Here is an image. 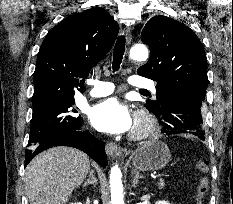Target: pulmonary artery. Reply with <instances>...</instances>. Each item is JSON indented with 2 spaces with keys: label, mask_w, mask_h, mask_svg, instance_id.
I'll return each instance as SVG.
<instances>
[{
  "label": "pulmonary artery",
  "mask_w": 233,
  "mask_h": 204,
  "mask_svg": "<svg viewBox=\"0 0 233 204\" xmlns=\"http://www.w3.org/2000/svg\"><path fill=\"white\" fill-rule=\"evenodd\" d=\"M130 85L136 88H146L155 90V84L152 80L145 77L134 75L129 78ZM93 89L90 91L92 97H103L111 94L114 91V84L111 82L94 80L92 81Z\"/></svg>",
  "instance_id": "1"
}]
</instances>
